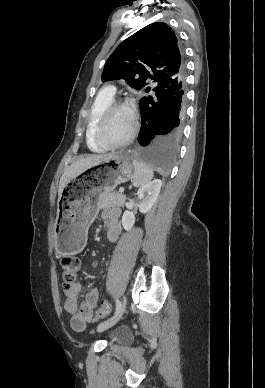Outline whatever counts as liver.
<instances>
[{"label": "liver", "instance_id": "liver-1", "mask_svg": "<svg viewBox=\"0 0 265 388\" xmlns=\"http://www.w3.org/2000/svg\"><path fill=\"white\" fill-rule=\"evenodd\" d=\"M106 156H112V154H103V156H101V154L100 156H90V158H82V160H78V162L71 164V166H69V168L63 172L62 178H60L58 196H62V192L66 184H68L72 178L79 176L81 172L88 170V168H91V166H95V164H98L101 158H106Z\"/></svg>", "mask_w": 265, "mask_h": 388}]
</instances>
